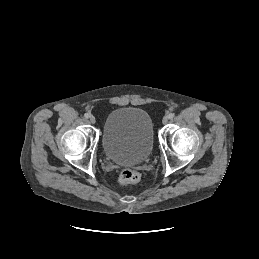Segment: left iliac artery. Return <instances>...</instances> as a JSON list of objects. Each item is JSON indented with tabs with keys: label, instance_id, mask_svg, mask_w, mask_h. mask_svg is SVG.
Listing matches in <instances>:
<instances>
[{
	"label": "left iliac artery",
	"instance_id": "left-iliac-artery-1",
	"mask_svg": "<svg viewBox=\"0 0 259 259\" xmlns=\"http://www.w3.org/2000/svg\"><path fill=\"white\" fill-rule=\"evenodd\" d=\"M168 118H169V119L174 118V114H173V113H170V114L168 115Z\"/></svg>",
	"mask_w": 259,
	"mask_h": 259
}]
</instances>
